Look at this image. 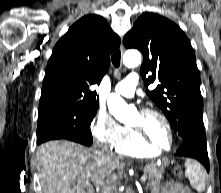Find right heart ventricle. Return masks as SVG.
I'll use <instances>...</instances> for the list:
<instances>
[{"label":"right heart ventricle","mask_w":221,"mask_h":193,"mask_svg":"<svg viewBox=\"0 0 221 193\" xmlns=\"http://www.w3.org/2000/svg\"><path fill=\"white\" fill-rule=\"evenodd\" d=\"M113 149L118 154L134 157H150L157 154L154 150L143 145L127 127H124L123 136L113 146Z\"/></svg>","instance_id":"1"}]
</instances>
